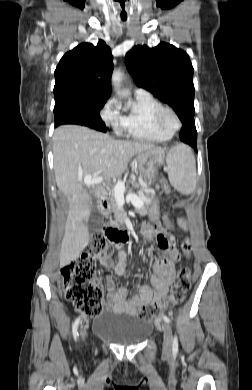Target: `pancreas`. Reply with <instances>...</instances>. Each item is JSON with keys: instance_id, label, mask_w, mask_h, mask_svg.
<instances>
[{"instance_id": "pancreas-1", "label": "pancreas", "mask_w": 252, "mask_h": 390, "mask_svg": "<svg viewBox=\"0 0 252 390\" xmlns=\"http://www.w3.org/2000/svg\"><path fill=\"white\" fill-rule=\"evenodd\" d=\"M153 197H150V200L148 202H143V206L141 208H138L137 209V212L139 213V216L140 217H146L147 216V207L149 206V204L151 203ZM111 206L113 208L114 211L118 210V206L116 204V199H115V193L112 192L111 193Z\"/></svg>"}]
</instances>
